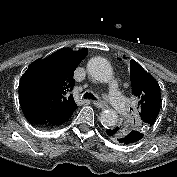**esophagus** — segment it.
Listing matches in <instances>:
<instances>
[{
  "label": "esophagus",
  "mask_w": 177,
  "mask_h": 177,
  "mask_svg": "<svg viewBox=\"0 0 177 177\" xmlns=\"http://www.w3.org/2000/svg\"><path fill=\"white\" fill-rule=\"evenodd\" d=\"M93 104L95 107L97 108H105L107 106V104L103 101H93Z\"/></svg>",
  "instance_id": "1"
}]
</instances>
